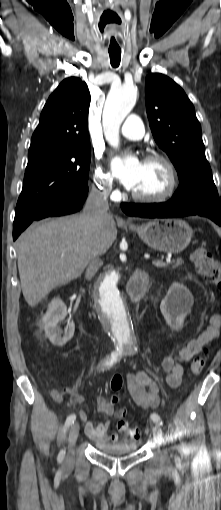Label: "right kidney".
<instances>
[{
    "label": "right kidney",
    "instance_id": "1",
    "mask_svg": "<svg viewBox=\"0 0 221 510\" xmlns=\"http://www.w3.org/2000/svg\"><path fill=\"white\" fill-rule=\"evenodd\" d=\"M67 316V307L59 298H55L48 305L46 314L42 318V323L46 337L50 342L58 347L64 346L74 335L75 325L71 319H68L67 328L64 335L61 336V331L58 324Z\"/></svg>",
    "mask_w": 221,
    "mask_h": 510
}]
</instances>
